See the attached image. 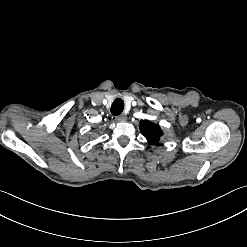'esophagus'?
<instances>
[{
  "label": "esophagus",
  "instance_id": "34e87169",
  "mask_svg": "<svg viewBox=\"0 0 247 247\" xmlns=\"http://www.w3.org/2000/svg\"><path fill=\"white\" fill-rule=\"evenodd\" d=\"M116 120L119 121H125L126 120V116L125 114H119L116 116Z\"/></svg>",
  "mask_w": 247,
  "mask_h": 247
}]
</instances>
